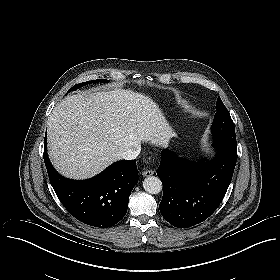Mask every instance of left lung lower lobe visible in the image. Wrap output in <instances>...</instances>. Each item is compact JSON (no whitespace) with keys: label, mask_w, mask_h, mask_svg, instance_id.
I'll use <instances>...</instances> for the list:
<instances>
[{"label":"left lung lower lobe","mask_w":280,"mask_h":280,"mask_svg":"<svg viewBox=\"0 0 280 280\" xmlns=\"http://www.w3.org/2000/svg\"><path fill=\"white\" fill-rule=\"evenodd\" d=\"M214 160L193 163L164 150L157 175L163 184L159 205L164 219L177 228L206 220L223 200L237 161V143L214 140Z\"/></svg>","instance_id":"obj_1"}]
</instances>
